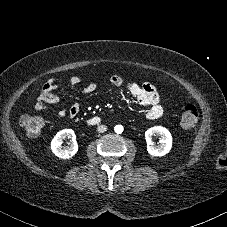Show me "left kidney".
<instances>
[{"instance_id": "obj_1", "label": "left kidney", "mask_w": 227, "mask_h": 227, "mask_svg": "<svg viewBox=\"0 0 227 227\" xmlns=\"http://www.w3.org/2000/svg\"><path fill=\"white\" fill-rule=\"evenodd\" d=\"M158 135L160 137L159 145H154L152 137ZM147 142V151L152 156H164L169 153L172 147V136L168 129L162 126H154L145 132Z\"/></svg>"}]
</instances>
